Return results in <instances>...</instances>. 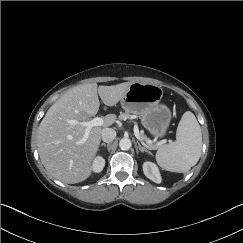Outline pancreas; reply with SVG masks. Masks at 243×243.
I'll list each match as a JSON object with an SVG mask.
<instances>
[{"instance_id": "obj_1", "label": "pancreas", "mask_w": 243, "mask_h": 243, "mask_svg": "<svg viewBox=\"0 0 243 243\" xmlns=\"http://www.w3.org/2000/svg\"><path fill=\"white\" fill-rule=\"evenodd\" d=\"M128 118H131V115H130L129 113H123V114H120V116H119V119H121V120H126V119H128ZM140 136H141V138L143 139V141H144L147 145H149V146L151 147V149H156V148H157V146L154 145V144L151 142V140H150L149 138H147V137L144 135L143 132L140 133Z\"/></svg>"}]
</instances>
